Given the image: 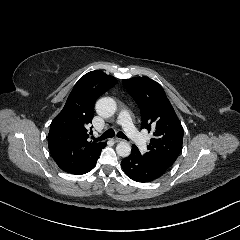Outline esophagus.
<instances>
[{
    "label": "esophagus",
    "instance_id": "esophagus-1",
    "mask_svg": "<svg viewBox=\"0 0 240 240\" xmlns=\"http://www.w3.org/2000/svg\"><path fill=\"white\" fill-rule=\"evenodd\" d=\"M113 140H114L115 143H118V142H122V141H123V140L120 139V138H115V139H113Z\"/></svg>",
    "mask_w": 240,
    "mask_h": 240
}]
</instances>
